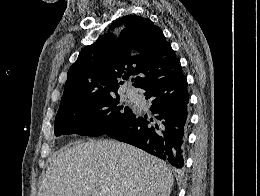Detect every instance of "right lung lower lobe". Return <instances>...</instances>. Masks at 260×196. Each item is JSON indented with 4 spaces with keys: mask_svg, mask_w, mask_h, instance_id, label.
I'll return each instance as SVG.
<instances>
[{
    "mask_svg": "<svg viewBox=\"0 0 260 196\" xmlns=\"http://www.w3.org/2000/svg\"><path fill=\"white\" fill-rule=\"evenodd\" d=\"M143 90L152 104L149 109L153 116L138 114L106 135L143 149L181 171L188 126L187 78L180 69L172 78Z\"/></svg>",
    "mask_w": 260,
    "mask_h": 196,
    "instance_id": "obj_1",
    "label": "right lung lower lobe"
}]
</instances>
